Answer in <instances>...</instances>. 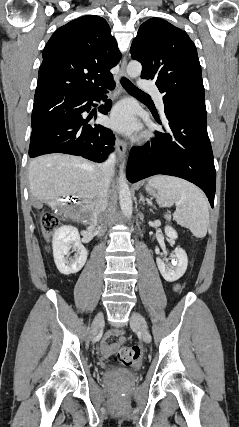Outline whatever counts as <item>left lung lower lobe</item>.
Wrapping results in <instances>:
<instances>
[{
	"label": "left lung lower lobe",
	"instance_id": "obj_1",
	"mask_svg": "<svg viewBox=\"0 0 239 427\" xmlns=\"http://www.w3.org/2000/svg\"><path fill=\"white\" fill-rule=\"evenodd\" d=\"M164 113L169 132L156 133V138L132 149L127 164V179L134 183L156 174L186 179L200 187L214 205L216 172L207 134L205 109L165 99ZM154 118L162 124L158 114Z\"/></svg>",
	"mask_w": 239,
	"mask_h": 427
}]
</instances>
